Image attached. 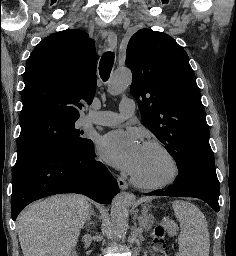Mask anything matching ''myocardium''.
I'll return each mask as SVG.
<instances>
[{
    "instance_id": "myocardium-1",
    "label": "myocardium",
    "mask_w": 236,
    "mask_h": 256,
    "mask_svg": "<svg viewBox=\"0 0 236 256\" xmlns=\"http://www.w3.org/2000/svg\"><path fill=\"white\" fill-rule=\"evenodd\" d=\"M126 86H129V84H127ZM144 146L154 147V148L161 150L168 157V159L172 165V172L169 175V177H167L162 182H159L156 184L144 183V182L140 181L138 178H136L133 174H130L129 179H130V182L132 183V185L139 189L146 190V191H157V190H161V189L166 188V187L170 186L171 184H173L178 179L180 172H181L180 164H179L176 156L174 155V153L169 149V147H167L164 143H162L158 140H149V141L145 142Z\"/></svg>"
}]
</instances>
